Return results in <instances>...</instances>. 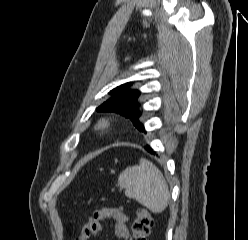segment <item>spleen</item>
<instances>
[{
    "label": "spleen",
    "mask_w": 248,
    "mask_h": 240,
    "mask_svg": "<svg viewBox=\"0 0 248 240\" xmlns=\"http://www.w3.org/2000/svg\"><path fill=\"white\" fill-rule=\"evenodd\" d=\"M118 185L128 198L135 199L153 213L163 212L170 200L168 185L161 171L145 158L139 165L126 168L118 177Z\"/></svg>",
    "instance_id": "1"
}]
</instances>
